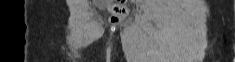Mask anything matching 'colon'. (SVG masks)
Masks as SVG:
<instances>
[{
  "label": "colon",
  "mask_w": 235,
  "mask_h": 62,
  "mask_svg": "<svg viewBox=\"0 0 235 62\" xmlns=\"http://www.w3.org/2000/svg\"><path fill=\"white\" fill-rule=\"evenodd\" d=\"M110 21L112 23H119L128 14V9L124 0H110L108 7Z\"/></svg>",
  "instance_id": "1"
}]
</instances>
